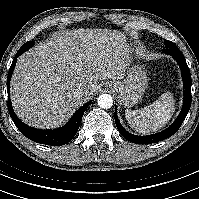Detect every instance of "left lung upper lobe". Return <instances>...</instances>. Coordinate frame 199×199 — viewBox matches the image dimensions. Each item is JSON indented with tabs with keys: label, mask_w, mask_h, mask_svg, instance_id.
<instances>
[{
	"label": "left lung upper lobe",
	"mask_w": 199,
	"mask_h": 199,
	"mask_svg": "<svg viewBox=\"0 0 199 199\" xmlns=\"http://www.w3.org/2000/svg\"><path fill=\"white\" fill-rule=\"evenodd\" d=\"M165 44H166L167 48H172V47H175V46H176L173 42H171V41H169V40H166V41H165Z\"/></svg>",
	"instance_id": "5c2ea615"
}]
</instances>
